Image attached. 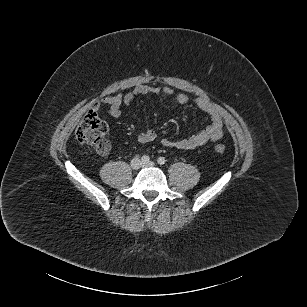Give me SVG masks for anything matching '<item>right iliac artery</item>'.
Wrapping results in <instances>:
<instances>
[{"instance_id":"82829eb1","label":"right iliac artery","mask_w":307,"mask_h":307,"mask_svg":"<svg viewBox=\"0 0 307 307\" xmlns=\"http://www.w3.org/2000/svg\"><path fill=\"white\" fill-rule=\"evenodd\" d=\"M141 160H142V162L147 163V162L150 161V157L147 156V155H143L142 158H141Z\"/></svg>"}]
</instances>
